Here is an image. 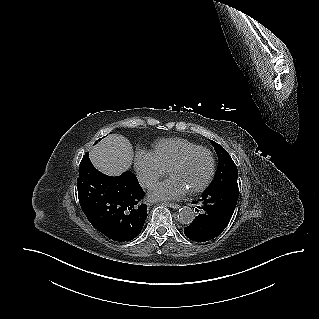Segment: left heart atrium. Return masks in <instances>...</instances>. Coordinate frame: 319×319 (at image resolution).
I'll list each match as a JSON object with an SVG mask.
<instances>
[{
    "instance_id": "obj_1",
    "label": "left heart atrium",
    "mask_w": 319,
    "mask_h": 319,
    "mask_svg": "<svg viewBox=\"0 0 319 319\" xmlns=\"http://www.w3.org/2000/svg\"><path fill=\"white\" fill-rule=\"evenodd\" d=\"M187 189L177 179L170 177L157 185L149 192V197L153 200H173L182 197Z\"/></svg>"
}]
</instances>
